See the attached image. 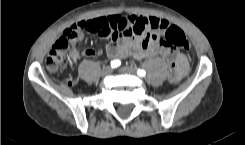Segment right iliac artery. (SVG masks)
<instances>
[{"label":"right iliac artery","mask_w":245,"mask_h":145,"mask_svg":"<svg viewBox=\"0 0 245 145\" xmlns=\"http://www.w3.org/2000/svg\"><path fill=\"white\" fill-rule=\"evenodd\" d=\"M120 64H121L120 60L111 61V67L112 68L118 67V66H120Z\"/></svg>","instance_id":"obj_1"}]
</instances>
